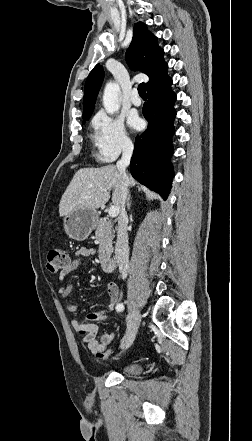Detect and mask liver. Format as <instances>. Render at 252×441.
I'll list each match as a JSON object with an SVG mask.
<instances>
[{
  "instance_id": "6515ba94",
  "label": "liver",
  "mask_w": 252,
  "mask_h": 441,
  "mask_svg": "<svg viewBox=\"0 0 252 441\" xmlns=\"http://www.w3.org/2000/svg\"><path fill=\"white\" fill-rule=\"evenodd\" d=\"M128 178L135 186V179ZM121 185L122 175L114 165L79 169L60 200L59 214L62 217L79 209L96 210L108 202L111 189L112 203L120 210Z\"/></svg>"
}]
</instances>
